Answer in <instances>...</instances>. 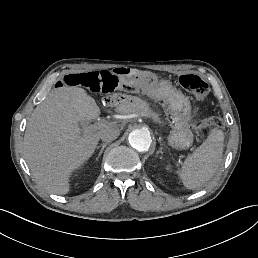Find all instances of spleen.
<instances>
[{
  "instance_id": "1",
  "label": "spleen",
  "mask_w": 258,
  "mask_h": 258,
  "mask_svg": "<svg viewBox=\"0 0 258 258\" xmlns=\"http://www.w3.org/2000/svg\"><path fill=\"white\" fill-rule=\"evenodd\" d=\"M224 133L215 127L207 139L185 160L180 176L188 189H196L210 181L222 161Z\"/></svg>"
}]
</instances>
